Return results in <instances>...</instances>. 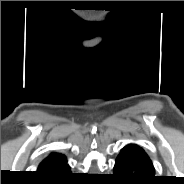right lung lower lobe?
<instances>
[{"label":"right lung lower lobe","mask_w":184,"mask_h":184,"mask_svg":"<svg viewBox=\"0 0 184 184\" xmlns=\"http://www.w3.org/2000/svg\"><path fill=\"white\" fill-rule=\"evenodd\" d=\"M37 173L46 178L48 183L63 184L71 177L70 166L67 164L66 158L59 159L43 170H38Z\"/></svg>","instance_id":"obj_1"}]
</instances>
